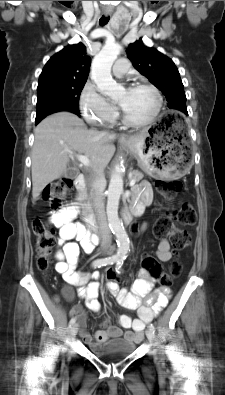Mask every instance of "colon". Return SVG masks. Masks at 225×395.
I'll return each mask as SVG.
<instances>
[{
    "label": "colon",
    "instance_id": "1",
    "mask_svg": "<svg viewBox=\"0 0 225 395\" xmlns=\"http://www.w3.org/2000/svg\"><path fill=\"white\" fill-rule=\"evenodd\" d=\"M73 186L71 178H62L49 184L43 193V198L56 212H60L66 205V198ZM158 193L167 201L174 200L182 189V183L178 180H157L155 182ZM196 211L192 204L183 202L172 212L162 213L156 220L153 232L157 237H169L174 250L180 252L190 244V236L183 229L184 226H191L196 222ZM136 228L135 224L131 225ZM32 229L36 238V264L39 270L45 272L52 262V250L55 243V233L52 228L43 221L36 219L32 222ZM118 243L117 239L113 240ZM141 272H148L152 275L153 281H160L162 288H173V279L180 272V264L175 261L168 273L165 268H160L159 263L153 258L150 250H141ZM106 283H117L119 285V273L107 272Z\"/></svg>",
    "mask_w": 225,
    "mask_h": 395
}]
</instances>
